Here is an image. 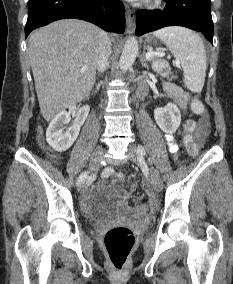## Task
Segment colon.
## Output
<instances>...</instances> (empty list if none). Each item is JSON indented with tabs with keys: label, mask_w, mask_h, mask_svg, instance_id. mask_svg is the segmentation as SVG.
Masks as SVG:
<instances>
[{
	"label": "colon",
	"mask_w": 233,
	"mask_h": 284,
	"mask_svg": "<svg viewBox=\"0 0 233 284\" xmlns=\"http://www.w3.org/2000/svg\"><path fill=\"white\" fill-rule=\"evenodd\" d=\"M153 67L161 76L166 77L170 75V66L164 60L159 59L154 61ZM190 107L192 112L197 115H203L205 112L204 105L196 98L191 100ZM183 140L188 154L196 156L202 146L203 136L197 134L196 128L193 125L186 124ZM102 177L105 179L114 177L120 183L125 181V175L123 173H116L111 167L106 168L102 172ZM147 214V205L140 204L135 208L134 215L137 219H146ZM134 243V232L127 227L115 226L106 232L104 246L109 261L115 270L122 271L125 268Z\"/></svg>",
	"instance_id": "5ec220e1"
}]
</instances>
